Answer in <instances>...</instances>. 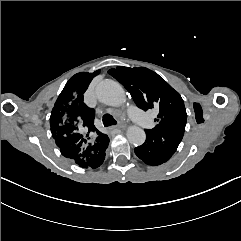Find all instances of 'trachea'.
Instances as JSON below:
<instances>
[{"label":"trachea","mask_w":241,"mask_h":241,"mask_svg":"<svg viewBox=\"0 0 241 241\" xmlns=\"http://www.w3.org/2000/svg\"><path fill=\"white\" fill-rule=\"evenodd\" d=\"M103 124L105 127H109L116 124V120L110 114L103 115Z\"/></svg>","instance_id":"obj_1"}]
</instances>
